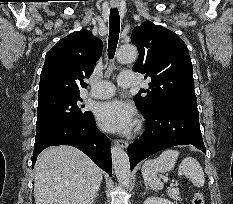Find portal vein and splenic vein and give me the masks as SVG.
I'll list each match as a JSON object with an SVG mask.
<instances>
[{
  "label": "portal vein and splenic vein",
  "mask_w": 233,
  "mask_h": 204,
  "mask_svg": "<svg viewBox=\"0 0 233 204\" xmlns=\"http://www.w3.org/2000/svg\"><path fill=\"white\" fill-rule=\"evenodd\" d=\"M163 181H164V182H167V181H168V178H167V177H164V178H163ZM173 185H174V184L172 183L171 186H173Z\"/></svg>",
  "instance_id": "1"
}]
</instances>
